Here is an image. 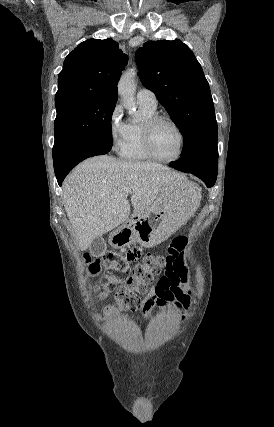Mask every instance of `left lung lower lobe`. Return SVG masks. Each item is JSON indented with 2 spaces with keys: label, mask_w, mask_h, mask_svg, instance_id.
Listing matches in <instances>:
<instances>
[{
  "label": "left lung lower lobe",
  "mask_w": 274,
  "mask_h": 427,
  "mask_svg": "<svg viewBox=\"0 0 274 427\" xmlns=\"http://www.w3.org/2000/svg\"><path fill=\"white\" fill-rule=\"evenodd\" d=\"M170 165L176 168L177 170L194 174L202 181H204L207 187H212L216 182L218 169H203L194 166L184 165L177 161L171 162Z\"/></svg>",
  "instance_id": "left-lung-lower-lobe-1"
}]
</instances>
